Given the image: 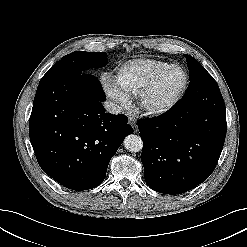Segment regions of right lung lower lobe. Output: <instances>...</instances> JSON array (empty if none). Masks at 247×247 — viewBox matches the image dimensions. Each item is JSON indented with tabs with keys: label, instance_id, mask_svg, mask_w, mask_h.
Segmentation results:
<instances>
[{
	"label": "right lung lower lobe",
	"instance_id": "1",
	"mask_svg": "<svg viewBox=\"0 0 247 247\" xmlns=\"http://www.w3.org/2000/svg\"><path fill=\"white\" fill-rule=\"evenodd\" d=\"M104 92L87 72H60L39 82L29 121L30 141L43 171L72 190L101 184L123 139L125 115L105 113Z\"/></svg>",
	"mask_w": 247,
	"mask_h": 247
}]
</instances>
